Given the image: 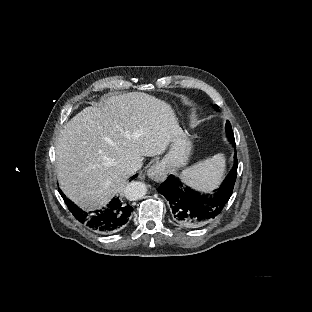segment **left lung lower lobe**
Segmentation results:
<instances>
[{
	"label": "left lung lower lobe",
	"instance_id": "left-lung-lower-lobe-1",
	"mask_svg": "<svg viewBox=\"0 0 312 312\" xmlns=\"http://www.w3.org/2000/svg\"><path fill=\"white\" fill-rule=\"evenodd\" d=\"M232 142V141H231ZM235 146V142H232ZM230 174L214 194H202L183 186L179 179L170 175L157 189L168 201L172 219L186 228L200 229L210 223L222 211L232 195L237 177L238 160Z\"/></svg>",
	"mask_w": 312,
	"mask_h": 312
}]
</instances>
